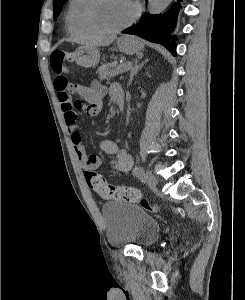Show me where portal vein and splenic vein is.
Here are the masks:
<instances>
[{"instance_id":"obj_1","label":"portal vein and splenic vein","mask_w":245,"mask_h":300,"mask_svg":"<svg viewBox=\"0 0 245 300\" xmlns=\"http://www.w3.org/2000/svg\"><path fill=\"white\" fill-rule=\"evenodd\" d=\"M130 66H131V62H127V63L119 66L116 70V74H121V73L126 72Z\"/></svg>"}]
</instances>
